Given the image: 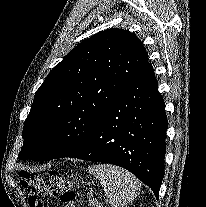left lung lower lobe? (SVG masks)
Instances as JSON below:
<instances>
[{"mask_svg": "<svg viewBox=\"0 0 206 207\" xmlns=\"http://www.w3.org/2000/svg\"><path fill=\"white\" fill-rule=\"evenodd\" d=\"M168 121L150 63L109 105L90 140L67 156L123 167L158 199Z\"/></svg>", "mask_w": 206, "mask_h": 207, "instance_id": "1", "label": "left lung lower lobe"}]
</instances>
